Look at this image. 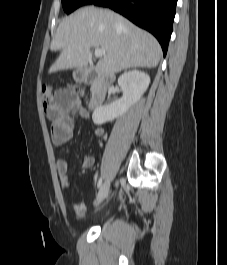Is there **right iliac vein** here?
Listing matches in <instances>:
<instances>
[{
  "label": "right iliac vein",
  "mask_w": 227,
  "mask_h": 265,
  "mask_svg": "<svg viewBox=\"0 0 227 265\" xmlns=\"http://www.w3.org/2000/svg\"><path fill=\"white\" fill-rule=\"evenodd\" d=\"M109 188H110V181L107 180L104 182V184L102 185V187L98 193L97 200L95 202V206H98L106 198V196L108 195V192H109Z\"/></svg>",
  "instance_id": "right-iliac-vein-1"
}]
</instances>
